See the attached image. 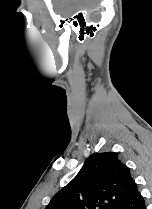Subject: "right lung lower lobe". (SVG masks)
I'll use <instances>...</instances> for the list:
<instances>
[{
  "mask_svg": "<svg viewBox=\"0 0 152 209\" xmlns=\"http://www.w3.org/2000/svg\"><path fill=\"white\" fill-rule=\"evenodd\" d=\"M117 209H146L144 198L141 196L138 190H135L133 194Z\"/></svg>",
  "mask_w": 152,
  "mask_h": 209,
  "instance_id": "1",
  "label": "right lung lower lobe"
}]
</instances>
